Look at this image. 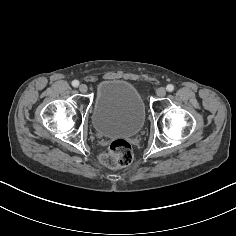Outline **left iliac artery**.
<instances>
[{
    "mask_svg": "<svg viewBox=\"0 0 236 236\" xmlns=\"http://www.w3.org/2000/svg\"><path fill=\"white\" fill-rule=\"evenodd\" d=\"M166 90L168 92H172L174 90V86L172 84L167 85Z\"/></svg>",
    "mask_w": 236,
    "mask_h": 236,
    "instance_id": "44dca946",
    "label": "left iliac artery"
}]
</instances>
